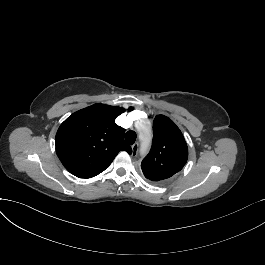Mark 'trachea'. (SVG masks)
<instances>
[{"instance_id": "obj_1", "label": "trachea", "mask_w": 265, "mask_h": 265, "mask_svg": "<svg viewBox=\"0 0 265 265\" xmlns=\"http://www.w3.org/2000/svg\"><path fill=\"white\" fill-rule=\"evenodd\" d=\"M136 137H137V135L134 131H128L125 134V140L130 145L135 143Z\"/></svg>"}]
</instances>
